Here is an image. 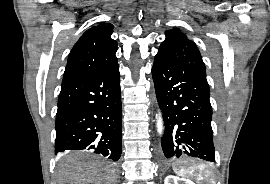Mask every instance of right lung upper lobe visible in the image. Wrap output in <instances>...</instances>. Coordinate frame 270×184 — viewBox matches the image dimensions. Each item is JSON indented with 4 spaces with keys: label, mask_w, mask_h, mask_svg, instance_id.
Masks as SVG:
<instances>
[{
    "label": "right lung upper lobe",
    "mask_w": 270,
    "mask_h": 184,
    "mask_svg": "<svg viewBox=\"0 0 270 184\" xmlns=\"http://www.w3.org/2000/svg\"><path fill=\"white\" fill-rule=\"evenodd\" d=\"M113 26L101 23L88 29L71 50L63 81L110 68L117 63V42L111 38Z\"/></svg>",
    "instance_id": "right-lung-upper-lobe-1"
}]
</instances>
